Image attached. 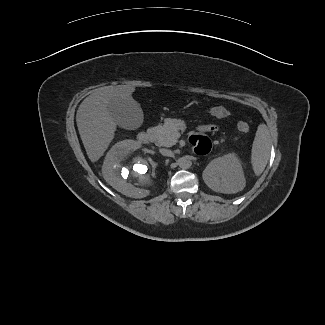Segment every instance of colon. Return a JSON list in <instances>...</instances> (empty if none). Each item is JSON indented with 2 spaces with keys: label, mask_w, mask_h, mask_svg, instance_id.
<instances>
[{
  "label": "colon",
  "mask_w": 325,
  "mask_h": 325,
  "mask_svg": "<svg viewBox=\"0 0 325 325\" xmlns=\"http://www.w3.org/2000/svg\"><path fill=\"white\" fill-rule=\"evenodd\" d=\"M207 113L216 118H226L230 116V111L222 106H213L208 108ZM237 128L242 133H248L250 126L247 122L239 120L237 122Z\"/></svg>",
  "instance_id": "1"
}]
</instances>
